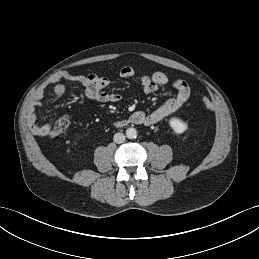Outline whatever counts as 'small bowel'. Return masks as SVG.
I'll list each match as a JSON object with an SVG mask.
<instances>
[{
    "label": "small bowel",
    "instance_id": "obj_1",
    "mask_svg": "<svg viewBox=\"0 0 259 259\" xmlns=\"http://www.w3.org/2000/svg\"><path fill=\"white\" fill-rule=\"evenodd\" d=\"M120 75L125 79L132 78L134 76V69L130 66H125L121 69ZM57 79H64L66 81L82 85L84 88L85 97L90 100L102 103H115L122 99L119 93H110L106 91V88L110 86V80L104 76H99L96 74L76 75L69 72H63ZM169 84L175 90V95L152 112H135L132 115V120L134 123L144 125L156 124L179 110L187 102L191 91L185 81H171L167 74L159 71L154 72L151 75H144L141 78L142 88L147 94L155 93L160 87ZM65 92L66 87L63 84H56L53 88L55 99L61 98ZM43 95V90H38L35 93L26 118L30 131L36 136H47L50 134L52 129L50 124H40L38 121L39 114L37 109L40 107V100Z\"/></svg>",
    "mask_w": 259,
    "mask_h": 259
}]
</instances>
